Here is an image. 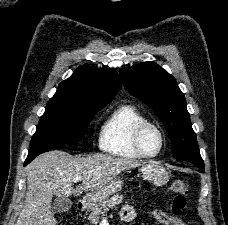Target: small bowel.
<instances>
[{
    "label": "small bowel",
    "instance_id": "small-bowel-1",
    "mask_svg": "<svg viewBox=\"0 0 228 225\" xmlns=\"http://www.w3.org/2000/svg\"><path fill=\"white\" fill-rule=\"evenodd\" d=\"M135 217V210L131 206L126 205L122 210V218L129 222L134 220ZM152 217L162 225H183L181 219L175 218L161 210L152 211Z\"/></svg>",
    "mask_w": 228,
    "mask_h": 225
}]
</instances>
